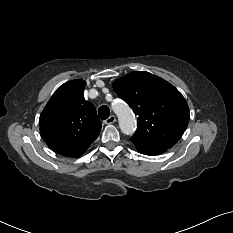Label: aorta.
<instances>
[{
  "label": "aorta",
  "mask_w": 233,
  "mask_h": 233,
  "mask_svg": "<svg viewBox=\"0 0 233 233\" xmlns=\"http://www.w3.org/2000/svg\"><path fill=\"white\" fill-rule=\"evenodd\" d=\"M118 117L122 133L132 135L136 130V119L131 108L123 101H117L112 106Z\"/></svg>",
  "instance_id": "obj_1"
}]
</instances>
